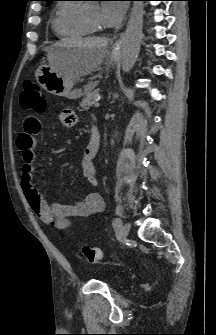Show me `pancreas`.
I'll return each instance as SVG.
<instances>
[{"instance_id":"pancreas-1","label":"pancreas","mask_w":216,"mask_h":335,"mask_svg":"<svg viewBox=\"0 0 216 335\" xmlns=\"http://www.w3.org/2000/svg\"><path fill=\"white\" fill-rule=\"evenodd\" d=\"M84 94L85 97L80 103V107L83 108L84 110H88L96 103V99L99 95V89L91 91V87L87 86L84 90Z\"/></svg>"}]
</instances>
